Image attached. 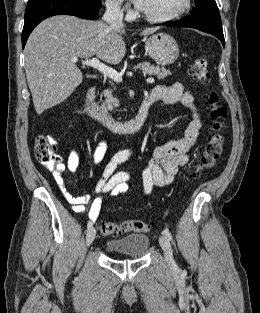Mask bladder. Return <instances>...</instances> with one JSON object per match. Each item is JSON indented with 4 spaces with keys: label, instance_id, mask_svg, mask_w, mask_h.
<instances>
[{
    "label": "bladder",
    "instance_id": "31cf9c89",
    "mask_svg": "<svg viewBox=\"0 0 260 313\" xmlns=\"http://www.w3.org/2000/svg\"><path fill=\"white\" fill-rule=\"evenodd\" d=\"M148 246L149 237L145 234H132L111 239L106 244L109 251L126 254L132 259L142 258L146 254Z\"/></svg>",
    "mask_w": 260,
    "mask_h": 313
}]
</instances>
